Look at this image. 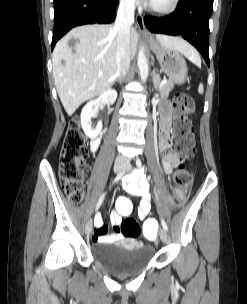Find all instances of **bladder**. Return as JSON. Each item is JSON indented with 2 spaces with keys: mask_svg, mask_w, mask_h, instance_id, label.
I'll return each mask as SVG.
<instances>
[{
  "mask_svg": "<svg viewBox=\"0 0 247 304\" xmlns=\"http://www.w3.org/2000/svg\"><path fill=\"white\" fill-rule=\"evenodd\" d=\"M91 254L105 269L125 274L144 269L153 259L155 248L131 241H102L93 244Z\"/></svg>",
  "mask_w": 247,
  "mask_h": 304,
  "instance_id": "31cf9c89",
  "label": "bladder"
}]
</instances>
